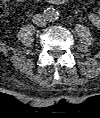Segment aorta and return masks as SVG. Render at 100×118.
<instances>
[{
	"label": "aorta",
	"mask_w": 100,
	"mask_h": 118,
	"mask_svg": "<svg viewBox=\"0 0 100 118\" xmlns=\"http://www.w3.org/2000/svg\"><path fill=\"white\" fill-rule=\"evenodd\" d=\"M44 15H45L47 21H49V22H54L59 18V12L52 7L46 8L44 10Z\"/></svg>",
	"instance_id": "aorta-1"
}]
</instances>
